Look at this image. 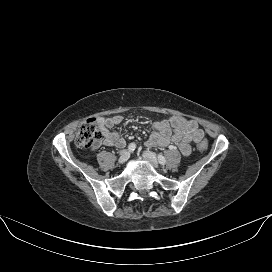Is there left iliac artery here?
Listing matches in <instances>:
<instances>
[{
  "label": "left iliac artery",
  "mask_w": 272,
  "mask_h": 272,
  "mask_svg": "<svg viewBox=\"0 0 272 272\" xmlns=\"http://www.w3.org/2000/svg\"><path fill=\"white\" fill-rule=\"evenodd\" d=\"M158 161L160 164L164 165L166 163V159L161 154L158 155Z\"/></svg>",
  "instance_id": "44dca946"
}]
</instances>
